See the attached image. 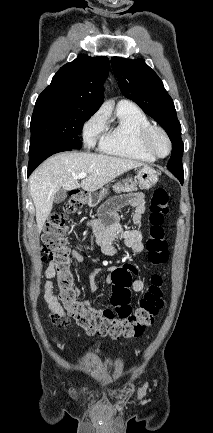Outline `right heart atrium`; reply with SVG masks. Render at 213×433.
<instances>
[{
	"label": "right heart atrium",
	"mask_w": 213,
	"mask_h": 433,
	"mask_svg": "<svg viewBox=\"0 0 213 433\" xmlns=\"http://www.w3.org/2000/svg\"><path fill=\"white\" fill-rule=\"evenodd\" d=\"M106 128V117L103 111L92 114L84 123L82 134L84 143L88 147H93L101 140Z\"/></svg>",
	"instance_id": "d8ad5b80"
}]
</instances>
